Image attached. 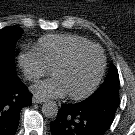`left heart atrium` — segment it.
Returning a JSON list of instances; mask_svg holds the SVG:
<instances>
[{"instance_id":"left-heart-atrium-1","label":"left heart atrium","mask_w":135,"mask_h":135,"mask_svg":"<svg viewBox=\"0 0 135 135\" xmlns=\"http://www.w3.org/2000/svg\"><path fill=\"white\" fill-rule=\"evenodd\" d=\"M35 96L46 98H58L67 94V90L59 77L53 75L51 78L40 81L31 87Z\"/></svg>"}]
</instances>
